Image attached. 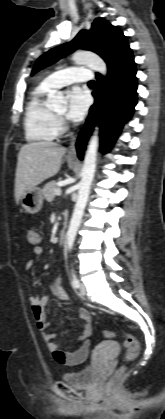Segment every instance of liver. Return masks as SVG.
Masks as SVG:
<instances>
[{
  "label": "liver",
  "instance_id": "obj_1",
  "mask_svg": "<svg viewBox=\"0 0 165 419\" xmlns=\"http://www.w3.org/2000/svg\"><path fill=\"white\" fill-rule=\"evenodd\" d=\"M66 148L54 142H31L20 149L15 177V200L56 175Z\"/></svg>",
  "mask_w": 165,
  "mask_h": 419
}]
</instances>
